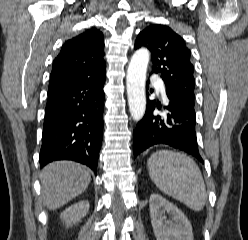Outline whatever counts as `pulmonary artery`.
<instances>
[{"mask_svg": "<svg viewBox=\"0 0 248 240\" xmlns=\"http://www.w3.org/2000/svg\"><path fill=\"white\" fill-rule=\"evenodd\" d=\"M153 81H156V77L152 78ZM161 93L165 96V88L164 87H159Z\"/></svg>", "mask_w": 248, "mask_h": 240, "instance_id": "1", "label": "pulmonary artery"}]
</instances>
